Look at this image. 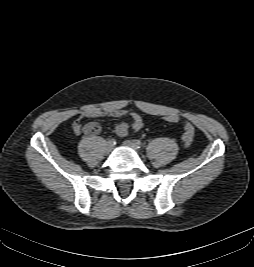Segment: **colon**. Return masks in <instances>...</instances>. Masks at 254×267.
<instances>
[{
  "label": "colon",
  "instance_id": "5ec220e1",
  "mask_svg": "<svg viewBox=\"0 0 254 267\" xmlns=\"http://www.w3.org/2000/svg\"><path fill=\"white\" fill-rule=\"evenodd\" d=\"M165 120L170 123H177L180 121V117L177 114H169L165 116ZM195 129L189 122H184V132L182 135V141L186 147L190 146L194 140Z\"/></svg>",
  "mask_w": 254,
  "mask_h": 267
}]
</instances>
